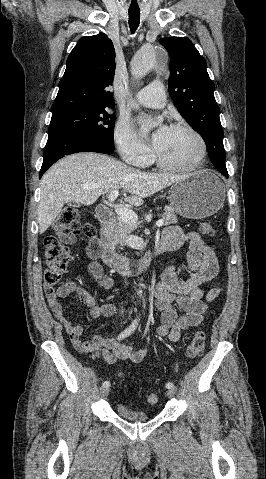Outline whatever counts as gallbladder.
Here are the masks:
<instances>
[{"mask_svg": "<svg viewBox=\"0 0 266 479\" xmlns=\"http://www.w3.org/2000/svg\"><path fill=\"white\" fill-rule=\"evenodd\" d=\"M68 205L73 206V207H78L79 204L76 202H68Z\"/></svg>", "mask_w": 266, "mask_h": 479, "instance_id": "gallbladder-1", "label": "gallbladder"}]
</instances>
